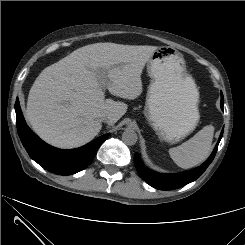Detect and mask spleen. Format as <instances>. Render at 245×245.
<instances>
[{
  "mask_svg": "<svg viewBox=\"0 0 245 245\" xmlns=\"http://www.w3.org/2000/svg\"><path fill=\"white\" fill-rule=\"evenodd\" d=\"M214 135V127L207 125L180 146L170 148L169 155L181 168L188 169L206 160Z\"/></svg>",
  "mask_w": 245,
  "mask_h": 245,
  "instance_id": "1",
  "label": "spleen"
}]
</instances>
